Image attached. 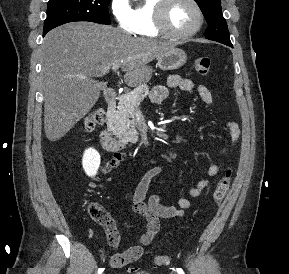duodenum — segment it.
Segmentation results:
<instances>
[{
  "instance_id": "1",
  "label": "duodenum",
  "mask_w": 289,
  "mask_h": 274,
  "mask_svg": "<svg viewBox=\"0 0 289 274\" xmlns=\"http://www.w3.org/2000/svg\"><path fill=\"white\" fill-rule=\"evenodd\" d=\"M104 96L108 106V113L112 114L115 110L118 99L117 90L114 87H109L105 91ZM99 138L102 146L109 152H118L125 146L123 141L118 140L112 136L110 130L107 127L101 130Z\"/></svg>"
}]
</instances>
